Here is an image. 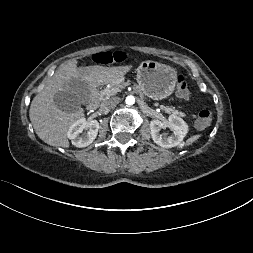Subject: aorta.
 I'll return each instance as SVG.
<instances>
[{
  "instance_id": "obj_1",
  "label": "aorta",
  "mask_w": 253,
  "mask_h": 253,
  "mask_svg": "<svg viewBox=\"0 0 253 253\" xmlns=\"http://www.w3.org/2000/svg\"><path fill=\"white\" fill-rule=\"evenodd\" d=\"M125 101H126L127 105H133L135 103V97L134 96H128Z\"/></svg>"
}]
</instances>
